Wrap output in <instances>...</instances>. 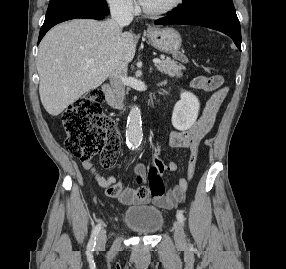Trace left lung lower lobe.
<instances>
[{"mask_svg": "<svg viewBox=\"0 0 286 269\" xmlns=\"http://www.w3.org/2000/svg\"><path fill=\"white\" fill-rule=\"evenodd\" d=\"M156 25H197L221 31L241 50V29L234 7H209L189 12L171 11V15L155 21Z\"/></svg>", "mask_w": 286, "mask_h": 269, "instance_id": "0a47b994", "label": "left lung lower lobe"}]
</instances>
